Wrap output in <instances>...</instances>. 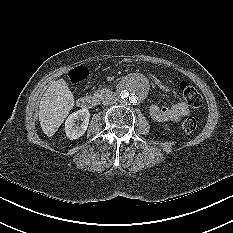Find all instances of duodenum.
<instances>
[{
    "label": "duodenum",
    "instance_id": "410a0bca",
    "mask_svg": "<svg viewBox=\"0 0 233 233\" xmlns=\"http://www.w3.org/2000/svg\"><path fill=\"white\" fill-rule=\"evenodd\" d=\"M113 93L110 90L102 89L95 92L94 95H84L78 98L77 105L82 109H92L98 104L106 102L107 99L112 98Z\"/></svg>",
    "mask_w": 233,
    "mask_h": 233
}]
</instances>
